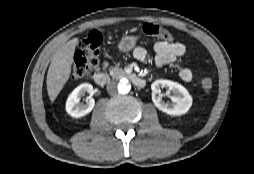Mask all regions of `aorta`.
<instances>
[{"label":"aorta","mask_w":254,"mask_h":174,"mask_svg":"<svg viewBox=\"0 0 254 174\" xmlns=\"http://www.w3.org/2000/svg\"><path fill=\"white\" fill-rule=\"evenodd\" d=\"M131 89V85L127 79H121L118 83V91L121 94H127Z\"/></svg>","instance_id":"aorta-1"}]
</instances>
